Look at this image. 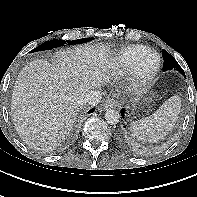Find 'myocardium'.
<instances>
[{
  "label": "myocardium",
  "instance_id": "1",
  "mask_svg": "<svg viewBox=\"0 0 197 197\" xmlns=\"http://www.w3.org/2000/svg\"><path fill=\"white\" fill-rule=\"evenodd\" d=\"M151 56H155L157 58V64L153 70L149 72H144L141 69L142 64L147 58ZM160 68H161V57L157 52L150 51L144 54L135 62V64L133 65V67L128 73V78H127L128 88L134 92L141 91L157 75Z\"/></svg>",
  "mask_w": 197,
  "mask_h": 197
}]
</instances>
